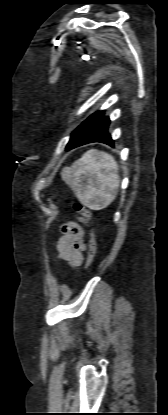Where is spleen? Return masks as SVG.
I'll list each match as a JSON object with an SVG mask.
<instances>
[{
	"label": "spleen",
	"mask_w": 168,
	"mask_h": 415,
	"mask_svg": "<svg viewBox=\"0 0 168 415\" xmlns=\"http://www.w3.org/2000/svg\"><path fill=\"white\" fill-rule=\"evenodd\" d=\"M118 165L110 154L91 149L61 176L78 200L92 209L110 205L117 196L120 184Z\"/></svg>",
	"instance_id": "spleen-1"
}]
</instances>
